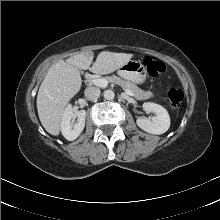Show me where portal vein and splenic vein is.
I'll list each match as a JSON object with an SVG mask.
<instances>
[{
  "label": "portal vein and splenic vein",
  "mask_w": 220,
  "mask_h": 220,
  "mask_svg": "<svg viewBox=\"0 0 220 220\" xmlns=\"http://www.w3.org/2000/svg\"><path fill=\"white\" fill-rule=\"evenodd\" d=\"M92 83L96 86H99V87H107L108 85V81L105 79V78H99V79H92ZM124 91L130 95V96H133V93L127 89H124Z\"/></svg>",
  "instance_id": "portal-vein-and-splenic-vein-1"
}]
</instances>
